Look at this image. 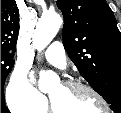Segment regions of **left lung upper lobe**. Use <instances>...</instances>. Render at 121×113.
I'll return each instance as SVG.
<instances>
[{
    "label": "left lung upper lobe",
    "instance_id": "obj_1",
    "mask_svg": "<svg viewBox=\"0 0 121 113\" xmlns=\"http://www.w3.org/2000/svg\"><path fill=\"white\" fill-rule=\"evenodd\" d=\"M63 44L80 74L121 113V34L105 0H58Z\"/></svg>",
    "mask_w": 121,
    "mask_h": 113
}]
</instances>
